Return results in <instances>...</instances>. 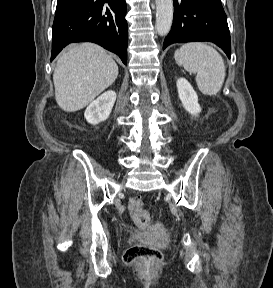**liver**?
<instances>
[{
  "instance_id": "6515ba94",
  "label": "liver",
  "mask_w": 273,
  "mask_h": 288,
  "mask_svg": "<svg viewBox=\"0 0 273 288\" xmlns=\"http://www.w3.org/2000/svg\"><path fill=\"white\" fill-rule=\"evenodd\" d=\"M117 76V64L102 47L93 43L73 45L59 57L54 70L56 102L64 111H79Z\"/></svg>"
}]
</instances>
